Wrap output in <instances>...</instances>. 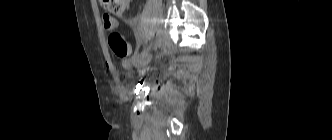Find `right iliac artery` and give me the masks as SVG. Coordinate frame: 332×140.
<instances>
[{
	"instance_id": "right-iliac-artery-1",
	"label": "right iliac artery",
	"mask_w": 332,
	"mask_h": 140,
	"mask_svg": "<svg viewBox=\"0 0 332 140\" xmlns=\"http://www.w3.org/2000/svg\"><path fill=\"white\" fill-rule=\"evenodd\" d=\"M140 53H136L132 58H131V62L135 63L137 61V59L140 57Z\"/></svg>"
}]
</instances>
